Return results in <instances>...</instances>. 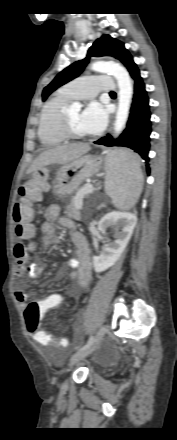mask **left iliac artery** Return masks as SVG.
<instances>
[{
	"instance_id": "obj_1",
	"label": "left iliac artery",
	"mask_w": 177,
	"mask_h": 440,
	"mask_svg": "<svg viewBox=\"0 0 177 440\" xmlns=\"http://www.w3.org/2000/svg\"><path fill=\"white\" fill-rule=\"evenodd\" d=\"M93 340H94V337H93V336H90V338H89L88 342L86 343V345H84V346H83L82 348H80L79 350L81 351V350L87 348L88 346H90V345L92 344Z\"/></svg>"
}]
</instances>
